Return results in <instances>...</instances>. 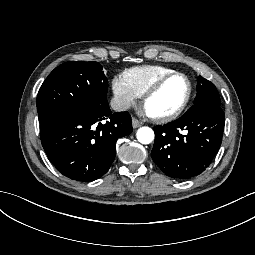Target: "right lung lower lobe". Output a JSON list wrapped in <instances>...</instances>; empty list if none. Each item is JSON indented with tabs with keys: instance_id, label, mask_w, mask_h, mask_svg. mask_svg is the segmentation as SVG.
Masks as SVG:
<instances>
[{
	"instance_id": "right-lung-lower-lobe-1",
	"label": "right lung lower lobe",
	"mask_w": 255,
	"mask_h": 255,
	"mask_svg": "<svg viewBox=\"0 0 255 255\" xmlns=\"http://www.w3.org/2000/svg\"><path fill=\"white\" fill-rule=\"evenodd\" d=\"M108 119L105 124L103 120ZM42 146L56 169L82 182L103 176L116 156V142L132 132L128 112L103 115L82 106L56 111L40 121Z\"/></svg>"
}]
</instances>
